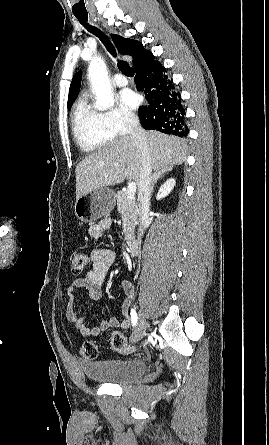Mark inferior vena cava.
I'll return each instance as SVG.
<instances>
[{
  "label": "inferior vena cava",
  "instance_id": "inferior-vena-cava-1",
  "mask_svg": "<svg viewBox=\"0 0 269 445\" xmlns=\"http://www.w3.org/2000/svg\"><path fill=\"white\" fill-rule=\"evenodd\" d=\"M129 135L135 141L140 155V178L138 182V201H139V230L138 239L140 240L148 223V212L150 205V195L152 186V166L149 154L146 133L140 126L136 117L128 119Z\"/></svg>",
  "mask_w": 269,
  "mask_h": 445
}]
</instances>
